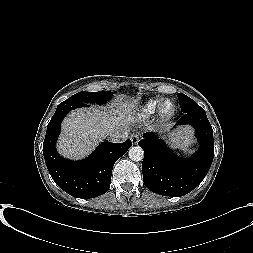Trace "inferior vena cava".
<instances>
[{
	"label": "inferior vena cava",
	"instance_id": "inferior-vena-cava-1",
	"mask_svg": "<svg viewBox=\"0 0 253 253\" xmlns=\"http://www.w3.org/2000/svg\"><path fill=\"white\" fill-rule=\"evenodd\" d=\"M129 135V130L125 128H121L120 130H113L107 133L106 137L108 141L111 142H122L127 139Z\"/></svg>",
	"mask_w": 253,
	"mask_h": 253
}]
</instances>
